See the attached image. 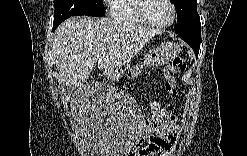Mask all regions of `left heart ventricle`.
<instances>
[{"label": "left heart ventricle", "instance_id": "1", "mask_svg": "<svg viewBox=\"0 0 247 156\" xmlns=\"http://www.w3.org/2000/svg\"><path fill=\"white\" fill-rule=\"evenodd\" d=\"M146 14L154 22L165 23L171 18V9L164 0L148 1Z\"/></svg>", "mask_w": 247, "mask_h": 156}]
</instances>
